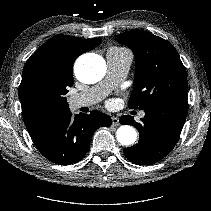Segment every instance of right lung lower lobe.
Listing matches in <instances>:
<instances>
[{
	"label": "right lung lower lobe",
	"mask_w": 211,
	"mask_h": 211,
	"mask_svg": "<svg viewBox=\"0 0 211 211\" xmlns=\"http://www.w3.org/2000/svg\"><path fill=\"white\" fill-rule=\"evenodd\" d=\"M111 117L99 112L72 115L67 109L44 126L30 134L40 153L49 161L70 165L81 160L87 153L92 135L99 127H109Z\"/></svg>",
	"instance_id": "right-lung-lower-lobe-1"
}]
</instances>
